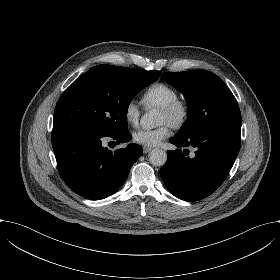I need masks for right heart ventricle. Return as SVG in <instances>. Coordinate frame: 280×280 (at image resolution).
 Returning a JSON list of instances; mask_svg holds the SVG:
<instances>
[{"label":"right heart ventricle","instance_id":"e07e8e85","mask_svg":"<svg viewBox=\"0 0 280 280\" xmlns=\"http://www.w3.org/2000/svg\"><path fill=\"white\" fill-rule=\"evenodd\" d=\"M180 97L177 89L162 82H156L148 86L142 94V101L147 107L161 106L175 101Z\"/></svg>","mask_w":280,"mask_h":280}]
</instances>
